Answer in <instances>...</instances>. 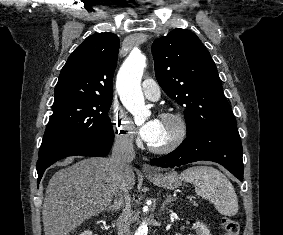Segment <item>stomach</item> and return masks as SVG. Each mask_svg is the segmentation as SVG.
I'll return each instance as SVG.
<instances>
[{"label":"stomach","mask_w":283,"mask_h":235,"mask_svg":"<svg viewBox=\"0 0 283 235\" xmlns=\"http://www.w3.org/2000/svg\"><path fill=\"white\" fill-rule=\"evenodd\" d=\"M147 179L159 187L177 189L181 186V178L175 171L166 173L146 174Z\"/></svg>","instance_id":"1"}]
</instances>
